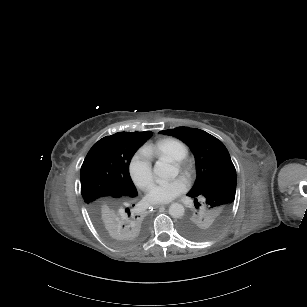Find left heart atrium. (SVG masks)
Here are the masks:
<instances>
[{
  "label": "left heart atrium",
  "instance_id": "left-heart-atrium-1",
  "mask_svg": "<svg viewBox=\"0 0 307 307\" xmlns=\"http://www.w3.org/2000/svg\"><path fill=\"white\" fill-rule=\"evenodd\" d=\"M185 189L181 179L171 181H153L145 188L146 199L152 204H166L174 200Z\"/></svg>",
  "mask_w": 307,
  "mask_h": 307
}]
</instances>
